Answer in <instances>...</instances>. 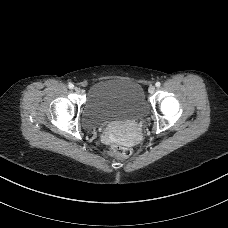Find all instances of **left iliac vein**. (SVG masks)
I'll use <instances>...</instances> for the list:
<instances>
[{
  "instance_id": "4c4485c4",
  "label": "left iliac vein",
  "mask_w": 228,
  "mask_h": 228,
  "mask_svg": "<svg viewBox=\"0 0 228 228\" xmlns=\"http://www.w3.org/2000/svg\"><path fill=\"white\" fill-rule=\"evenodd\" d=\"M148 91L150 94H153L156 91V88L154 86H150Z\"/></svg>"
}]
</instances>
